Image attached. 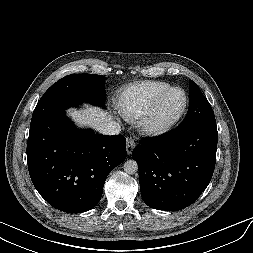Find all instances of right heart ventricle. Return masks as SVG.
I'll return each instance as SVG.
<instances>
[{"mask_svg":"<svg viewBox=\"0 0 253 253\" xmlns=\"http://www.w3.org/2000/svg\"><path fill=\"white\" fill-rule=\"evenodd\" d=\"M169 88H171L170 84L156 80L131 84L120 92L117 108L126 120H138L144 115L154 99Z\"/></svg>","mask_w":253,"mask_h":253,"instance_id":"1","label":"right heart ventricle"}]
</instances>
